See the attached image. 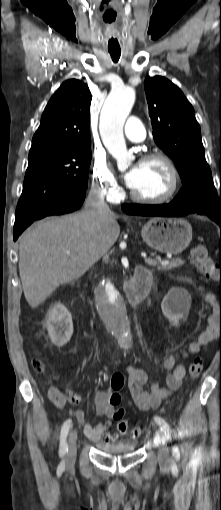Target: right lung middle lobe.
Listing matches in <instances>:
<instances>
[{
    "label": "right lung middle lobe",
    "mask_w": 221,
    "mask_h": 510,
    "mask_svg": "<svg viewBox=\"0 0 221 510\" xmlns=\"http://www.w3.org/2000/svg\"><path fill=\"white\" fill-rule=\"evenodd\" d=\"M91 145L29 156L16 214L33 216L88 187Z\"/></svg>",
    "instance_id": "right-lung-middle-lobe-1"
}]
</instances>
